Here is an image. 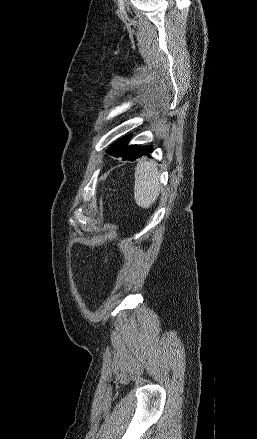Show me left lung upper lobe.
Wrapping results in <instances>:
<instances>
[{"instance_id": "left-lung-upper-lobe-1", "label": "left lung upper lobe", "mask_w": 257, "mask_h": 439, "mask_svg": "<svg viewBox=\"0 0 257 439\" xmlns=\"http://www.w3.org/2000/svg\"><path fill=\"white\" fill-rule=\"evenodd\" d=\"M131 138V135H128L117 142H115L113 145L110 146L109 150L107 151L108 154L114 156V157H124L129 155L137 145H129L127 146L128 140Z\"/></svg>"}]
</instances>
